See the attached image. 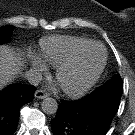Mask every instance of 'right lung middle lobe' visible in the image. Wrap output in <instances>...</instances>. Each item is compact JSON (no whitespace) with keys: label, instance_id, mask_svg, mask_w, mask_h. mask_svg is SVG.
Segmentation results:
<instances>
[{"label":"right lung middle lobe","instance_id":"1","mask_svg":"<svg viewBox=\"0 0 135 135\" xmlns=\"http://www.w3.org/2000/svg\"><path fill=\"white\" fill-rule=\"evenodd\" d=\"M14 26H4L0 28V44L9 40Z\"/></svg>","mask_w":135,"mask_h":135}]
</instances>
